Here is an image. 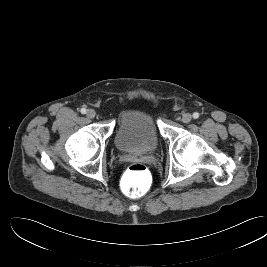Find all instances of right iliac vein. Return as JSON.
I'll return each instance as SVG.
<instances>
[{
    "label": "right iliac vein",
    "instance_id": "1",
    "mask_svg": "<svg viewBox=\"0 0 267 267\" xmlns=\"http://www.w3.org/2000/svg\"><path fill=\"white\" fill-rule=\"evenodd\" d=\"M87 117L92 119L96 116V112L94 109H88L87 113H86Z\"/></svg>",
    "mask_w": 267,
    "mask_h": 267
}]
</instances>
